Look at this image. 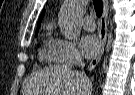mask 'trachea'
Segmentation results:
<instances>
[{"instance_id":"3493384b","label":"trachea","mask_w":135,"mask_h":95,"mask_svg":"<svg viewBox=\"0 0 135 95\" xmlns=\"http://www.w3.org/2000/svg\"><path fill=\"white\" fill-rule=\"evenodd\" d=\"M93 4H94L96 15L98 17H101L102 12H103V2H102V0H93Z\"/></svg>"}]
</instances>
